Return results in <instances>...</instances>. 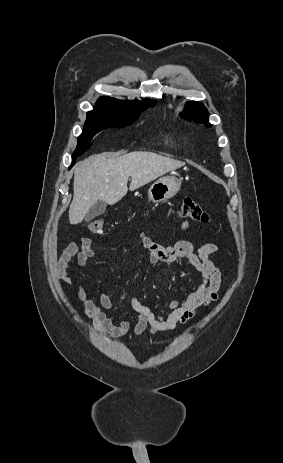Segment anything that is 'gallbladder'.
<instances>
[{"mask_svg": "<svg viewBox=\"0 0 283 463\" xmlns=\"http://www.w3.org/2000/svg\"><path fill=\"white\" fill-rule=\"evenodd\" d=\"M106 206L107 204L104 201H97L86 213L85 220L91 221L95 217L102 215L106 210Z\"/></svg>", "mask_w": 283, "mask_h": 463, "instance_id": "gallbladder-1", "label": "gallbladder"}]
</instances>
